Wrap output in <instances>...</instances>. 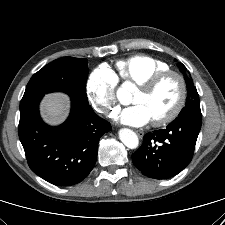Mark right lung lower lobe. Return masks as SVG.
<instances>
[{
	"label": "right lung lower lobe",
	"mask_w": 225,
	"mask_h": 225,
	"mask_svg": "<svg viewBox=\"0 0 225 225\" xmlns=\"http://www.w3.org/2000/svg\"><path fill=\"white\" fill-rule=\"evenodd\" d=\"M43 95L23 97L20 103L19 138L31 170L57 186L81 182L93 169L100 137L110 123L89 104L71 99L68 119L57 127L45 124L38 105Z\"/></svg>",
	"instance_id": "right-lung-lower-lobe-1"
}]
</instances>
